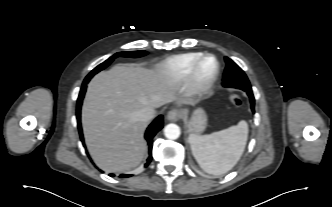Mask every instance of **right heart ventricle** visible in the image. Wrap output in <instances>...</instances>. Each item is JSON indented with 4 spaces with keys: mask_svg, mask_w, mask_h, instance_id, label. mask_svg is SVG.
I'll return each mask as SVG.
<instances>
[{
    "mask_svg": "<svg viewBox=\"0 0 332 207\" xmlns=\"http://www.w3.org/2000/svg\"><path fill=\"white\" fill-rule=\"evenodd\" d=\"M201 55V52L177 54L164 60L160 67L170 81L180 82L187 78L191 66Z\"/></svg>",
    "mask_w": 332,
    "mask_h": 207,
    "instance_id": "1",
    "label": "right heart ventricle"
}]
</instances>
